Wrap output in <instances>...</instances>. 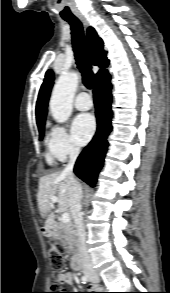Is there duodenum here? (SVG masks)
I'll list each match as a JSON object with an SVG mask.
<instances>
[{"mask_svg": "<svg viewBox=\"0 0 170 293\" xmlns=\"http://www.w3.org/2000/svg\"><path fill=\"white\" fill-rule=\"evenodd\" d=\"M51 231H52V226H43L41 228V232H42L43 236H45V237H50ZM71 264L75 270L81 269V258H80L79 253L76 250H75L73 258L71 260Z\"/></svg>", "mask_w": 170, "mask_h": 293, "instance_id": "duodenum-1", "label": "duodenum"}]
</instances>
